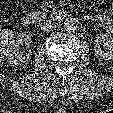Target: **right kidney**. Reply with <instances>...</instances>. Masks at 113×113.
I'll return each mask as SVG.
<instances>
[{"label": "right kidney", "instance_id": "ca27d5eb", "mask_svg": "<svg viewBox=\"0 0 113 113\" xmlns=\"http://www.w3.org/2000/svg\"><path fill=\"white\" fill-rule=\"evenodd\" d=\"M22 47V51L20 48ZM32 40L30 35L19 33L15 42L9 48L7 62L11 65H24L31 59Z\"/></svg>", "mask_w": 113, "mask_h": 113}]
</instances>
